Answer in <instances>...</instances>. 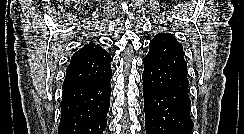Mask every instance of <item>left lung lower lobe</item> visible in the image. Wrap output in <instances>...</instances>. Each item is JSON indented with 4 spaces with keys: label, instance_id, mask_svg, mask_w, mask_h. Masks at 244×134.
Listing matches in <instances>:
<instances>
[{
    "label": "left lung lower lobe",
    "instance_id": "left-lung-lower-lobe-1",
    "mask_svg": "<svg viewBox=\"0 0 244 134\" xmlns=\"http://www.w3.org/2000/svg\"><path fill=\"white\" fill-rule=\"evenodd\" d=\"M143 96L146 134H192L188 88H166L144 71Z\"/></svg>",
    "mask_w": 244,
    "mask_h": 134
}]
</instances>
